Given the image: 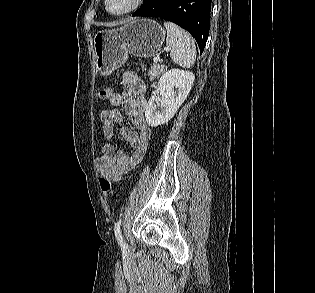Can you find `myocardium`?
Wrapping results in <instances>:
<instances>
[{
	"label": "myocardium",
	"instance_id": "obj_1",
	"mask_svg": "<svg viewBox=\"0 0 315 293\" xmlns=\"http://www.w3.org/2000/svg\"><path fill=\"white\" fill-rule=\"evenodd\" d=\"M143 2H144V0H132L131 5L127 9H125L121 12H118V13H114L108 9V0H104V9L108 14L115 16V17H119V16H124V15L130 14V13L136 11L138 8L141 7Z\"/></svg>",
	"mask_w": 315,
	"mask_h": 293
}]
</instances>
